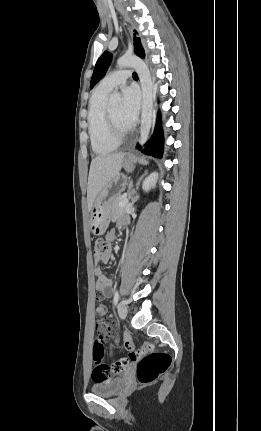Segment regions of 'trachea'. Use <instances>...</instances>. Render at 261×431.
I'll return each mask as SVG.
<instances>
[{
  "mask_svg": "<svg viewBox=\"0 0 261 431\" xmlns=\"http://www.w3.org/2000/svg\"><path fill=\"white\" fill-rule=\"evenodd\" d=\"M132 76H133L134 79H138V75L135 72L133 73Z\"/></svg>",
  "mask_w": 261,
  "mask_h": 431,
  "instance_id": "obj_1",
  "label": "trachea"
}]
</instances>
